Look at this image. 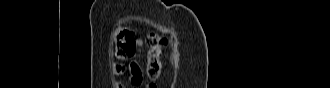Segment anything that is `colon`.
Instances as JSON below:
<instances>
[{"mask_svg":"<svg viewBox=\"0 0 330 88\" xmlns=\"http://www.w3.org/2000/svg\"><path fill=\"white\" fill-rule=\"evenodd\" d=\"M136 37L132 30L124 28L119 30L115 35L116 54L122 59L131 58L136 50ZM146 43L147 49V63L145 66L146 76L151 80H156L160 77L162 70V51L166 46V38L159 34H150ZM154 87V86H148Z\"/></svg>","mask_w":330,"mask_h":88,"instance_id":"obj_1","label":"colon"}]
</instances>
